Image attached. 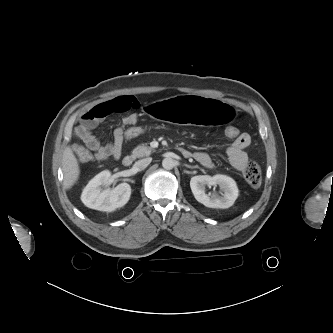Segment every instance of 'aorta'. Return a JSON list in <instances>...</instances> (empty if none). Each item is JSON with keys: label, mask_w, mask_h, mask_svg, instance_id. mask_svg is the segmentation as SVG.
Returning a JSON list of instances; mask_svg holds the SVG:
<instances>
[{"label": "aorta", "mask_w": 333, "mask_h": 333, "mask_svg": "<svg viewBox=\"0 0 333 333\" xmlns=\"http://www.w3.org/2000/svg\"><path fill=\"white\" fill-rule=\"evenodd\" d=\"M162 166L167 170H171L174 168L175 162L172 158H164L162 161Z\"/></svg>", "instance_id": "aorta-1"}]
</instances>
